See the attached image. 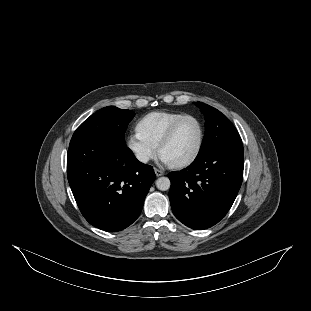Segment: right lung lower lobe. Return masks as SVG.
<instances>
[{"label": "right lung lower lobe", "instance_id": "1", "mask_svg": "<svg viewBox=\"0 0 311 311\" xmlns=\"http://www.w3.org/2000/svg\"><path fill=\"white\" fill-rule=\"evenodd\" d=\"M67 177L85 219L116 232L140 215L155 173L136 159L125 142L93 135L70 143Z\"/></svg>", "mask_w": 311, "mask_h": 311}]
</instances>
